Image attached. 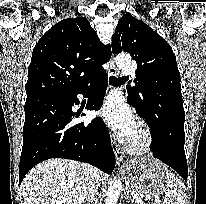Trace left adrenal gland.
Here are the masks:
<instances>
[{
	"label": "left adrenal gland",
	"instance_id": "a2214340",
	"mask_svg": "<svg viewBox=\"0 0 206 204\" xmlns=\"http://www.w3.org/2000/svg\"><path fill=\"white\" fill-rule=\"evenodd\" d=\"M126 199H131L132 201H134V200L131 198L130 194H129L128 188H126Z\"/></svg>",
	"mask_w": 206,
	"mask_h": 204
}]
</instances>
